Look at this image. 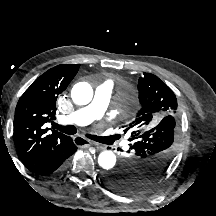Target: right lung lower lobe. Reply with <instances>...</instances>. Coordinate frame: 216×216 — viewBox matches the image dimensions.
Segmentation results:
<instances>
[{
  "instance_id": "98d812e1",
  "label": "right lung lower lobe",
  "mask_w": 216,
  "mask_h": 216,
  "mask_svg": "<svg viewBox=\"0 0 216 216\" xmlns=\"http://www.w3.org/2000/svg\"><path fill=\"white\" fill-rule=\"evenodd\" d=\"M77 150L72 139L58 145L45 155L40 161L28 167L29 171L40 176H49L61 170L66 160Z\"/></svg>"
}]
</instances>
